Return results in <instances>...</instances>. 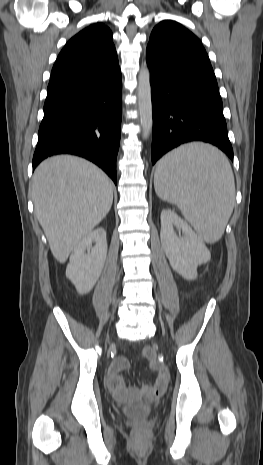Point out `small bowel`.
I'll list each match as a JSON object with an SVG mask.
<instances>
[{
	"label": "small bowel",
	"instance_id": "obj_1",
	"mask_svg": "<svg viewBox=\"0 0 263 465\" xmlns=\"http://www.w3.org/2000/svg\"><path fill=\"white\" fill-rule=\"evenodd\" d=\"M129 362L126 358L120 357L113 361L108 371V387L113 396L119 401H126L141 394L159 395L161 394L168 382V375L164 369L158 368V375L153 385L145 386L139 390L136 388H126L121 372L128 368Z\"/></svg>",
	"mask_w": 263,
	"mask_h": 465
}]
</instances>
